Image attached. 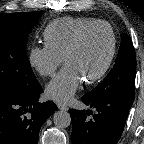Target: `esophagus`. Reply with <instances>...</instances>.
<instances>
[{"instance_id":"1","label":"esophagus","mask_w":144,"mask_h":144,"mask_svg":"<svg viewBox=\"0 0 144 144\" xmlns=\"http://www.w3.org/2000/svg\"><path fill=\"white\" fill-rule=\"evenodd\" d=\"M57 107H58V109L63 110V111L68 110V107L66 105H64L63 103H57Z\"/></svg>"}]
</instances>
